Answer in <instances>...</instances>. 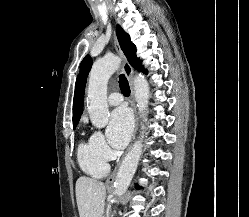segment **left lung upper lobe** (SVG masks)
<instances>
[{
  "instance_id": "5c2ea615",
  "label": "left lung upper lobe",
  "mask_w": 249,
  "mask_h": 217,
  "mask_svg": "<svg viewBox=\"0 0 249 217\" xmlns=\"http://www.w3.org/2000/svg\"><path fill=\"white\" fill-rule=\"evenodd\" d=\"M116 32L121 49L123 50L131 66H133L135 69L139 71L147 72L144 68H142L140 59L136 57V48L134 44L130 41L129 35L125 33L124 30L119 25H117ZM91 66H92V59L90 55H87L80 64L79 77L84 87Z\"/></svg>"
}]
</instances>
